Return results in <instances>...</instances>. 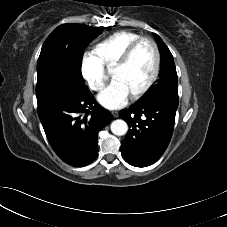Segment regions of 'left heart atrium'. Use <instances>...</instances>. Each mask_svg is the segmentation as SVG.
I'll list each match as a JSON object with an SVG mask.
<instances>
[{
	"label": "left heart atrium",
	"instance_id": "obj_1",
	"mask_svg": "<svg viewBox=\"0 0 227 227\" xmlns=\"http://www.w3.org/2000/svg\"><path fill=\"white\" fill-rule=\"evenodd\" d=\"M129 91L117 79L112 82L98 95L99 103L107 109H118L124 106L129 99Z\"/></svg>",
	"mask_w": 227,
	"mask_h": 227
}]
</instances>
